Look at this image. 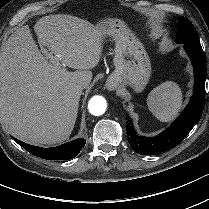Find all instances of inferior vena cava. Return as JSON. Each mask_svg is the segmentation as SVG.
I'll use <instances>...</instances> for the list:
<instances>
[{
    "label": "inferior vena cava",
    "mask_w": 209,
    "mask_h": 209,
    "mask_svg": "<svg viewBox=\"0 0 209 209\" xmlns=\"http://www.w3.org/2000/svg\"><path fill=\"white\" fill-rule=\"evenodd\" d=\"M85 88V86L81 83H78L76 86H75V89L78 93L81 94L82 90Z\"/></svg>",
    "instance_id": "inferior-vena-cava-1"
}]
</instances>
